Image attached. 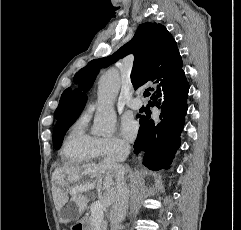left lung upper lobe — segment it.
Segmentation results:
<instances>
[{"mask_svg": "<svg viewBox=\"0 0 241 230\" xmlns=\"http://www.w3.org/2000/svg\"><path fill=\"white\" fill-rule=\"evenodd\" d=\"M97 73L96 71L89 78L83 80L78 89L74 90L66 112L54 127L53 146L55 149H60L66 131L81 114L87 101V96L82 91L87 92L91 88Z\"/></svg>", "mask_w": 241, "mask_h": 230, "instance_id": "5c2ea615", "label": "left lung upper lobe"}]
</instances>
